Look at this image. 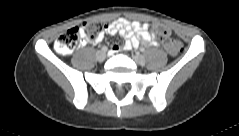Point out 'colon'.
I'll return each mask as SVG.
<instances>
[{
	"label": "colon",
	"mask_w": 239,
	"mask_h": 136,
	"mask_svg": "<svg viewBox=\"0 0 239 136\" xmlns=\"http://www.w3.org/2000/svg\"><path fill=\"white\" fill-rule=\"evenodd\" d=\"M104 29L105 25L101 22H85L81 27H74L62 33L55 41V49L60 54H68L78 45L82 35L93 40L97 38ZM154 30L169 55L176 56L180 53L182 48L181 43L169 37V30L164 25L156 24Z\"/></svg>",
	"instance_id": "obj_1"
}]
</instances>
